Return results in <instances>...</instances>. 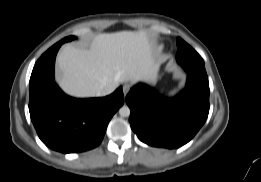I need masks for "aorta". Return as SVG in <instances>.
Here are the masks:
<instances>
[{
    "instance_id": "obj_1",
    "label": "aorta",
    "mask_w": 261,
    "mask_h": 182,
    "mask_svg": "<svg viewBox=\"0 0 261 182\" xmlns=\"http://www.w3.org/2000/svg\"><path fill=\"white\" fill-rule=\"evenodd\" d=\"M119 114L121 117H129L130 115V109L128 106H122L120 109H119Z\"/></svg>"
}]
</instances>
